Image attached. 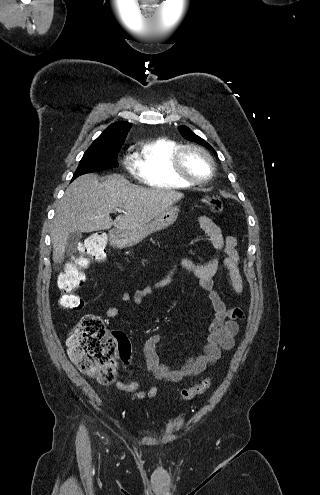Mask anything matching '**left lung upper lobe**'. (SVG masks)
<instances>
[{"mask_svg": "<svg viewBox=\"0 0 320 495\" xmlns=\"http://www.w3.org/2000/svg\"><path fill=\"white\" fill-rule=\"evenodd\" d=\"M179 130L185 139H187L189 141L196 142V143L208 148L209 150L214 151V149L212 148V146L210 144H208L205 140H203L199 136L195 135L188 127L182 125L179 127Z\"/></svg>", "mask_w": 320, "mask_h": 495, "instance_id": "1", "label": "left lung upper lobe"}]
</instances>
